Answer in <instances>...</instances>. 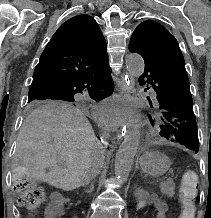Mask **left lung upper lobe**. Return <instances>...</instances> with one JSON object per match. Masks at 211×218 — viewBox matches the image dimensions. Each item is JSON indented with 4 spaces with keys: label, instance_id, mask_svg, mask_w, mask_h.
Returning <instances> with one entry per match:
<instances>
[{
    "label": "left lung upper lobe",
    "instance_id": "1",
    "mask_svg": "<svg viewBox=\"0 0 211 218\" xmlns=\"http://www.w3.org/2000/svg\"><path fill=\"white\" fill-rule=\"evenodd\" d=\"M129 50L140 54L145 69L141 85H152L156 97H148V117L159 134L198 152L197 124L185 61L178 42L152 20L140 23L132 34ZM149 89V88H148ZM146 91V89H145Z\"/></svg>",
    "mask_w": 211,
    "mask_h": 218
}]
</instances>
